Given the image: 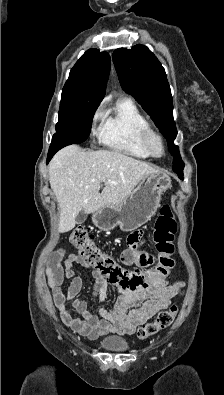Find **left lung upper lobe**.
Instances as JSON below:
<instances>
[{
  "mask_svg": "<svg viewBox=\"0 0 224 395\" xmlns=\"http://www.w3.org/2000/svg\"><path fill=\"white\" fill-rule=\"evenodd\" d=\"M113 62L122 88L138 101L167 139L175 169L182 160L178 147L173 143L177 130L173 120L171 90L164 68L156 56L141 44L131 49H116Z\"/></svg>",
  "mask_w": 224,
  "mask_h": 395,
  "instance_id": "1",
  "label": "left lung upper lobe"
}]
</instances>
